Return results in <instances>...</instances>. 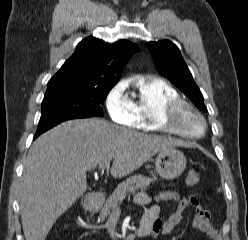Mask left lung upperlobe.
<instances>
[{
	"mask_svg": "<svg viewBox=\"0 0 248 240\" xmlns=\"http://www.w3.org/2000/svg\"><path fill=\"white\" fill-rule=\"evenodd\" d=\"M157 71L183 91L201 110L207 111L203 95L194 82L178 47L169 40L147 43Z\"/></svg>",
	"mask_w": 248,
	"mask_h": 240,
	"instance_id": "1",
	"label": "left lung upper lobe"
}]
</instances>
